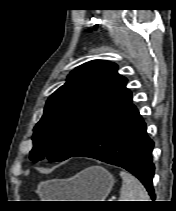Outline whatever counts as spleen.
Instances as JSON below:
<instances>
[{"label": "spleen", "mask_w": 176, "mask_h": 211, "mask_svg": "<svg viewBox=\"0 0 176 211\" xmlns=\"http://www.w3.org/2000/svg\"><path fill=\"white\" fill-rule=\"evenodd\" d=\"M120 176L123 184L119 201H150V197L142 183L129 172L122 170Z\"/></svg>", "instance_id": "spleen-1"}]
</instances>
